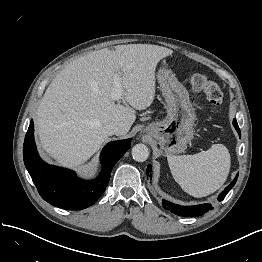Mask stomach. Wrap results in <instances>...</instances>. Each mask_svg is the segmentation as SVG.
<instances>
[{
    "instance_id": "obj_1",
    "label": "stomach",
    "mask_w": 262,
    "mask_h": 262,
    "mask_svg": "<svg viewBox=\"0 0 262 262\" xmlns=\"http://www.w3.org/2000/svg\"><path fill=\"white\" fill-rule=\"evenodd\" d=\"M157 80L167 102V116L160 122L149 124L145 132L159 142L165 155L182 153L193 138L196 118L189 93L169 69L160 68Z\"/></svg>"
}]
</instances>
